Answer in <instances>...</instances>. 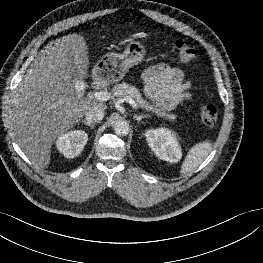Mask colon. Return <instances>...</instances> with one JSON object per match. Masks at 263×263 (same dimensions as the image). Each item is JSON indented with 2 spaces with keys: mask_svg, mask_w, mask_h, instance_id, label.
<instances>
[{
  "mask_svg": "<svg viewBox=\"0 0 263 263\" xmlns=\"http://www.w3.org/2000/svg\"><path fill=\"white\" fill-rule=\"evenodd\" d=\"M174 45L182 62L190 64L196 60L197 53L193 46L182 39H176ZM199 116L203 124L214 126L218 120V109L214 104H205L200 108Z\"/></svg>",
  "mask_w": 263,
  "mask_h": 263,
  "instance_id": "1",
  "label": "colon"
}]
</instances>
